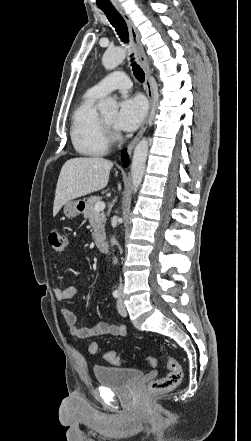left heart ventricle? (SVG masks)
I'll return each instance as SVG.
<instances>
[{
  "instance_id": "1",
  "label": "left heart ventricle",
  "mask_w": 251,
  "mask_h": 441,
  "mask_svg": "<svg viewBox=\"0 0 251 441\" xmlns=\"http://www.w3.org/2000/svg\"><path fill=\"white\" fill-rule=\"evenodd\" d=\"M104 119H105L109 124L113 125L114 122H115V119H116V114L113 113V114H110V115H106V116H104Z\"/></svg>"
}]
</instances>
